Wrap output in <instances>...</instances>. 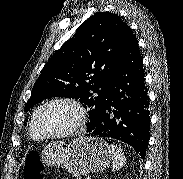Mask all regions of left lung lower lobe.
Listing matches in <instances>:
<instances>
[{
  "mask_svg": "<svg viewBox=\"0 0 183 179\" xmlns=\"http://www.w3.org/2000/svg\"><path fill=\"white\" fill-rule=\"evenodd\" d=\"M144 76L138 42L130 30L110 80L107 100L96 121L87 128L89 136L127 143L142 159L146 156L150 130Z\"/></svg>",
  "mask_w": 183,
  "mask_h": 179,
  "instance_id": "obj_1",
  "label": "left lung lower lobe"
}]
</instances>
